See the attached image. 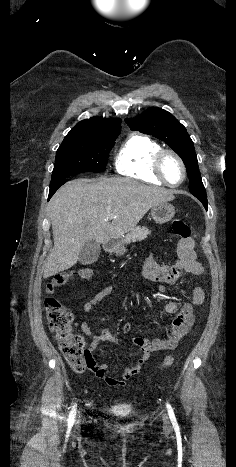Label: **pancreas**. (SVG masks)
Instances as JSON below:
<instances>
[{"mask_svg": "<svg viewBox=\"0 0 236 467\" xmlns=\"http://www.w3.org/2000/svg\"><path fill=\"white\" fill-rule=\"evenodd\" d=\"M151 234V231L146 227H134L124 238L121 239V243L129 244L131 242L142 241Z\"/></svg>", "mask_w": 236, "mask_h": 467, "instance_id": "1", "label": "pancreas"}]
</instances>
